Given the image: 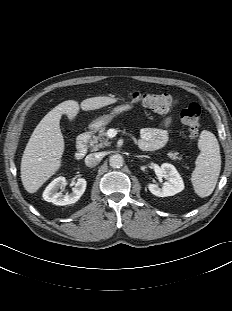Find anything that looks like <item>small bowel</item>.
I'll return each mask as SVG.
<instances>
[{"mask_svg": "<svg viewBox=\"0 0 232 311\" xmlns=\"http://www.w3.org/2000/svg\"><path fill=\"white\" fill-rule=\"evenodd\" d=\"M171 123L172 119L167 117L156 128L147 127L142 129L139 147L145 151H154L164 147L169 140L168 129Z\"/></svg>", "mask_w": 232, "mask_h": 311, "instance_id": "obj_1", "label": "small bowel"}]
</instances>
